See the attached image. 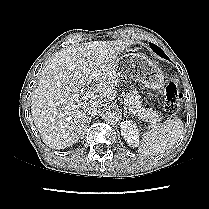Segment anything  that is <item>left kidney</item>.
<instances>
[{
	"mask_svg": "<svg viewBox=\"0 0 209 209\" xmlns=\"http://www.w3.org/2000/svg\"><path fill=\"white\" fill-rule=\"evenodd\" d=\"M120 130L121 135L129 145L136 147L139 144V130L135 123L130 120L122 121Z\"/></svg>",
	"mask_w": 209,
	"mask_h": 209,
	"instance_id": "obj_1",
	"label": "left kidney"
}]
</instances>
